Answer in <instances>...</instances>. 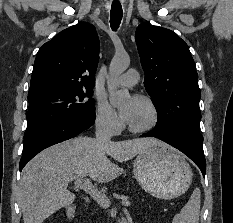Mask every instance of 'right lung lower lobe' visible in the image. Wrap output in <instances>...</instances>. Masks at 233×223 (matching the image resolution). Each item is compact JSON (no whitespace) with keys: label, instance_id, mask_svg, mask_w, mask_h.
Segmentation results:
<instances>
[{"label":"right lung lower lobe","instance_id":"98d812e1","mask_svg":"<svg viewBox=\"0 0 233 223\" xmlns=\"http://www.w3.org/2000/svg\"><path fill=\"white\" fill-rule=\"evenodd\" d=\"M94 122L95 111L83 112L49 126L25 139L23 155L19 163L20 171L43 149L78 135L92 126Z\"/></svg>","mask_w":233,"mask_h":223}]
</instances>
